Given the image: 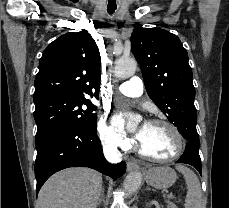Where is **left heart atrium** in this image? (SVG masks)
<instances>
[{"mask_svg": "<svg viewBox=\"0 0 229 208\" xmlns=\"http://www.w3.org/2000/svg\"><path fill=\"white\" fill-rule=\"evenodd\" d=\"M115 123H116V125H117L118 127L121 128V127L123 126V124H124V118H123V116L120 115V114L116 115V116H115ZM146 124H147V123L143 124V125H142V128L138 131V134H137L138 138H141V136H142V134H143V132H144V126H145Z\"/></svg>", "mask_w": 229, "mask_h": 208, "instance_id": "obj_1", "label": "left heart atrium"}]
</instances>
